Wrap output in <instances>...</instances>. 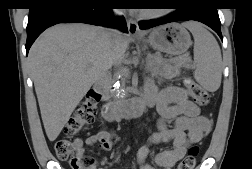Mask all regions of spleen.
<instances>
[{
  "label": "spleen",
  "instance_id": "spleen-1",
  "mask_svg": "<svg viewBox=\"0 0 252 169\" xmlns=\"http://www.w3.org/2000/svg\"><path fill=\"white\" fill-rule=\"evenodd\" d=\"M194 37L195 80L207 91H217L222 78V56L214 36L201 24H185Z\"/></svg>",
  "mask_w": 252,
  "mask_h": 169
}]
</instances>
